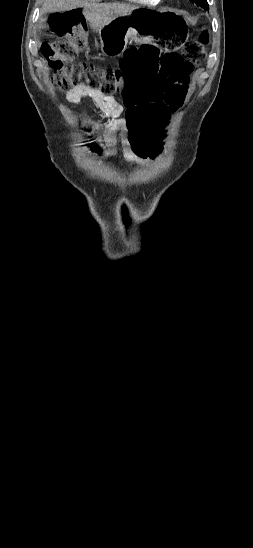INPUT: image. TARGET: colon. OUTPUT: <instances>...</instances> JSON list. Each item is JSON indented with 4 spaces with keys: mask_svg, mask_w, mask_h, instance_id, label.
Listing matches in <instances>:
<instances>
[{
    "mask_svg": "<svg viewBox=\"0 0 253 548\" xmlns=\"http://www.w3.org/2000/svg\"><path fill=\"white\" fill-rule=\"evenodd\" d=\"M52 25L57 40L43 47V56L53 69V86L69 91L78 84L104 94L121 93L127 106V124L135 156L152 159L161 152L159 128L170 126L172 113L184 103L190 86V73L205 57V33L185 44L181 53L152 60L157 51L142 45L127 51L118 68H107L78 61V51L86 45V23L78 10L56 13ZM97 150L96 146L93 147Z\"/></svg>",
    "mask_w": 253,
    "mask_h": 548,
    "instance_id": "obj_1",
    "label": "colon"
}]
</instances>
